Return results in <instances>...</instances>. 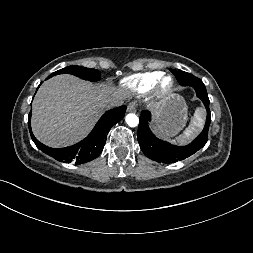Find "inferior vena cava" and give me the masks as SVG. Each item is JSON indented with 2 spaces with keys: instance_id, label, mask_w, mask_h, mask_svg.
Returning a JSON list of instances; mask_svg holds the SVG:
<instances>
[{
  "instance_id": "obj_1",
  "label": "inferior vena cava",
  "mask_w": 253,
  "mask_h": 253,
  "mask_svg": "<svg viewBox=\"0 0 253 253\" xmlns=\"http://www.w3.org/2000/svg\"><path fill=\"white\" fill-rule=\"evenodd\" d=\"M120 105H122L121 101H111L107 104V108L118 107Z\"/></svg>"
}]
</instances>
